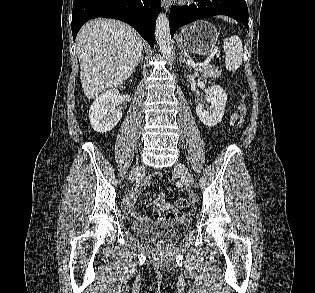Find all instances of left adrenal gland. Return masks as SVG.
<instances>
[{
    "label": "left adrenal gland",
    "mask_w": 315,
    "mask_h": 293,
    "mask_svg": "<svg viewBox=\"0 0 315 293\" xmlns=\"http://www.w3.org/2000/svg\"><path fill=\"white\" fill-rule=\"evenodd\" d=\"M180 56V63H185L188 67H190V65L188 64V62L186 61V59L182 56L181 53H179Z\"/></svg>",
    "instance_id": "obj_1"
}]
</instances>
